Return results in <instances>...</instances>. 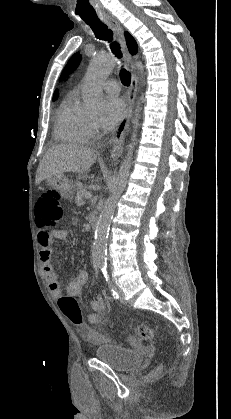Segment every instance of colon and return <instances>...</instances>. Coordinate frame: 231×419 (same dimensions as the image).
I'll return each instance as SVG.
<instances>
[{
    "label": "colon",
    "instance_id": "5ec220e1",
    "mask_svg": "<svg viewBox=\"0 0 231 419\" xmlns=\"http://www.w3.org/2000/svg\"><path fill=\"white\" fill-rule=\"evenodd\" d=\"M35 218L40 229H48L60 223L63 218V206L59 194L54 190H48L40 194L35 205ZM58 305L62 313L76 327H83V319L79 302L71 296H61ZM137 335L144 340L154 339L153 331L145 324H139L135 329ZM89 341L100 339L94 332H87ZM107 342V339H102Z\"/></svg>",
    "mask_w": 231,
    "mask_h": 419
}]
</instances>
